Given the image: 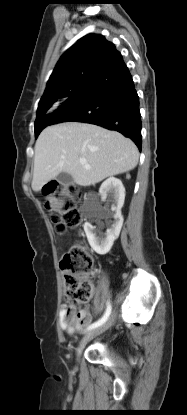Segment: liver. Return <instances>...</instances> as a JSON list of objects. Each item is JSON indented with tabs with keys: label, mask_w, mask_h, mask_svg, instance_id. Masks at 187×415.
Listing matches in <instances>:
<instances>
[{
	"label": "liver",
	"mask_w": 187,
	"mask_h": 415,
	"mask_svg": "<svg viewBox=\"0 0 187 415\" xmlns=\"http://www.w3.org/2000/svg\"><path fill=\"white\" fill-rule=\"evenodd\" d=\"M80 159H85L90 169ZM139 153L129 138L93 124L66 122L45 128L35 144L32 189L38 192L61 172L90 186L134 169Z\"/></svg>",
	"instance_id": "6515ba94"
}]
</instances>
